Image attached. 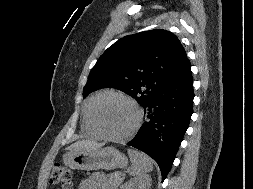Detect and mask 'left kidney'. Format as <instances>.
I'll use <instances>...</instances> for the list:
<instances>
[{
  "label": "left kidney",
  "instance_id": "left-kidney-1",
  "mask_svg": "<svg viewBox=\"0 0 253 189\" xmlns=\"http://www.w3.org/2000/svg\"><path fill=\"white\" fill-rule=\"evenodd\" d=\"M151 178L150 176H140L133 178L121 186V189H150Z\"/></svg>",
  "mask_w": 253,
  "mask_h": 189
}]
</instances>
